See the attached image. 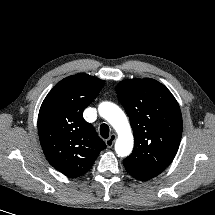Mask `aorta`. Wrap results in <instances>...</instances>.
<instances>
[{
	"instance_id": "aorta-1",
	"label": "aorta",
	"mask_w": 215,
	"mask_h": 215,
	"mask_svg": "<svg viewBox=\"0 0 215 215\" xmlns=\"http://www.w3.org/2000/svg\"><path fill=\"white\" fill-rule=\"evenodd\" d=\"M99 114L116 130L118 138L115 151L119 156H128L133 149V135L124 112L114 103L102 102L98 107Z\"/></svg>"
}]
</instances>
